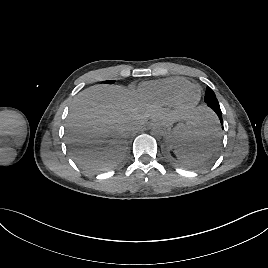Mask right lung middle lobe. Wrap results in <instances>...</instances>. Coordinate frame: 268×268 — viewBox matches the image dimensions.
Segmentation results:
<instances>
[{"label": "right lung middle lobe", "instance_id": "1", "mask_svg": "<svg viewBox=\"0 0 268 268\" xmlns=\"http://www.w3.org/2000/svg\"><path fill=\"white\" fill-rule=\"evenodd\" d=\"M104 83L112 84L114 81H105Z\"/></svg>", "mask_w": 268, "mask_h": 268}]
</instances>
